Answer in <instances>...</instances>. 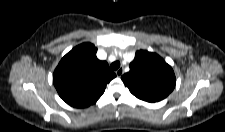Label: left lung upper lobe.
Wrapping results in <instances>:
<instances>
[{
    "label": "left lung upper lobe",
    "mask_w": 225,
    "mask_h": 132,
    "mask_svg": "<svg viewBox=\"0 0 225 132\" xmlns=\"http://www.w3.org/2000/svg\"><path fill=\"white\" fill-rule=\"evenodd\" d=\"M130 92L146 102H158L174 89L173 69L160 56L145 50L137 51L130 71L121 77Z\"/></svg>",
    "instance_id": "1"
}]
</instances>
